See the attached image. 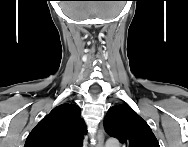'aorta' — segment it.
<instances>
[{
    "mask_svg": "<svg viewBox=\"0 0 188 147\" xmlns=\"http://www.w3.org/2000/svg\"><path fill=\"white\" fill-rule=\"evenodd\" d=\"M106 147H119V141L115 138H110L106 141Z\"/></svg>",
    "mask_w": 188,
    "mask_h": 147,
    "instance_id": "762f6f07",
    "label": "aorta"
}]
</instances>
